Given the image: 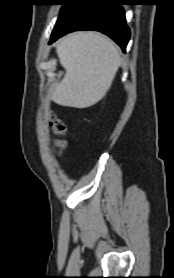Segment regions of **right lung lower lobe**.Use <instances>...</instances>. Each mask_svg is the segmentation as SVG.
I'll return each instance as SVG.
<instances>
[{
	"label": "right lung lower lobe",
	"instance_id": "1",
	"mask_svg": "<svg viewBox=\"0 0 174 278\" xmlns=\"http://www.w3.org/2000/svg\"><path fill=\"white\" fill-rule=\"evenodd\" d=\"M117 0H81L54 30L50 43L77 30H97L111 37L125 52L130 37L125 13Z\"/></svg>",
	"mask_w": 174,
	"mask_h": 278
}]
</instances>
